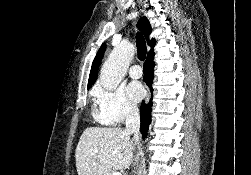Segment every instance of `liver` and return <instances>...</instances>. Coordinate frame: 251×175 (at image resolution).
Listing matches in <instances>:
<instances>
[{"label":"liver","instance_id":"obj_1","mask_svg":"<svg viewBox=\"0 0 251 175\" xmlns=\"http://www.w3.org/2000/svg\"><path fill=\"white\" fill-rule=\"evenodd\" d=\"M134 143L123 127H86L76 147L78 175H103L131 165Z\"/></svg>","mask_w":251,"mask_h":175}]
</instances>
